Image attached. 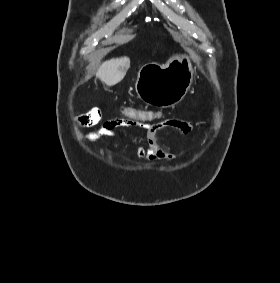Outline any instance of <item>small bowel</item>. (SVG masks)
<instances>
[{
  "mask_svg": "<svg viewBox=\"0 0 280 283\" xmlns=\"http://www.w3.org/2000/svg\"><path fill=\"white\" fill-rule=\"evenodd\" d=\"M124 111V110H123ZM100 111L96 108L80 116L77 119V124L81 127H90L97 124L100 120ZM140 127L146 131L145 145L136 144V151L138 156L147 162L157 160H172L174 155L162 147L158 140V132L165 128H173L183 133H189L192 130V123L188 120L178 118L155 119L151 125L146 122H124L123 119H115L106 121L95 132L89 135L88 140L95 142L104 137L126 135L125 129Z\"/></svg>",
  "mask_w": 280,
  "mask_h": 283,
  "instance_id": "1",
  "label": "small bowel"
}]
</instances>
